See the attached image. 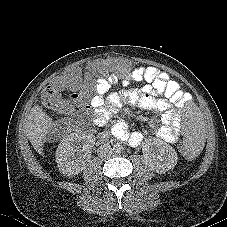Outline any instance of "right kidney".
<instances>
[{
	"label": "right kidney",
	"mask_w": 227,
	"mask_h": 227,
	"mask_svg": "<svg viewBox=\"0 0 227 227\" xmlns=\"http://www.w3.org/2000/svg\"><path fill=\"white\" fill-rule=\"evenodd\" d=\"M94 142L91 134L71 133L65 136L56 150L59 171L68 177L79 174L91 156Z\"/></svg>",
	"instance_id": "ca27d5eb"
}]
</instances>
